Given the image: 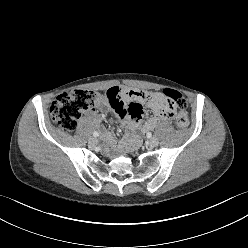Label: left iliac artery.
<instances>
[{
  "mask_svg": "<svg viewBox=\"0 0 248 248\" xmlns=\"http://www.w3.org/2000/svg\"><path fill=\"white\" fill-rule=\"evenodd\" d=\"M147 136H148V138H150V137L152 136V134H151V133H148V135H147Z\"/></svg>",
  "mask_w": 248,
  "mask_h": 248,
  "instance_id": "44dca946",
  "label": "left iliac artery"
}]
</instances>
